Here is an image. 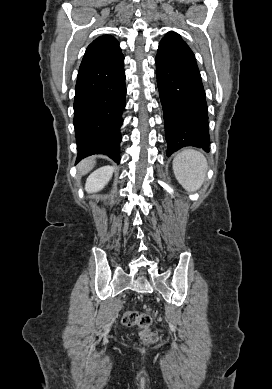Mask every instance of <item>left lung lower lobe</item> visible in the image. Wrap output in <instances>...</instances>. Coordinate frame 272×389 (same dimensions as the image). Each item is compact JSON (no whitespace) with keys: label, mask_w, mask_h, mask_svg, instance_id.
Wrapping results in <instances>:
<instances>
[{"label":"left lung lower lobe","mask_w":272,"mask_h":389,"mask_svg":"<svg viewBox=\"0 0 272 389\" xmlns=\"http://www.w3.org/2000/svg\"><path fill=\"white\" fill-rule=\"evenodd\" d=\"M155 62L167 156L185 146L209 152L207 103L195 57L159 47Z\"/></svg>","instance_id":"obj_1"}]
</instances>
